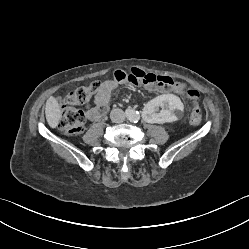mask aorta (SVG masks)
I'll use <instances>...</instances> for the list:
<instances>
[{
  "label": "aorta",
  "instance_id": "762f6f07",
  "mask_svg": "<svg viewBox=\"0 0 249 249\" xmlns=\"http://www.w3.org/2000/svg\"><path fill=\"white\" fill-rule=\"evenodd\" d=\"M127 119L131 122H138L140 119V114L136 110H129L126 114Z\"/></svg>",
  "mask_w": 249,
  "mask_h": 249
}]
</instances>
